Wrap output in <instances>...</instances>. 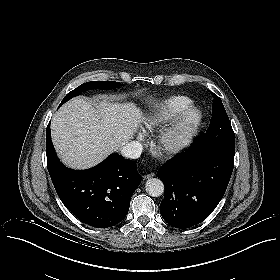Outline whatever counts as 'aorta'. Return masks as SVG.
Wrapping results in <instances>:
<instances>
[{
	"label": "aorta",
	"instance_id": "1",
	"mask_svg": "<svg viewBox=\"0 0 280 280\" xmlns=\"http://www.w3.org/2000/svg\"><path fill=\"white\" fill-rule=\"evenodd\" d=\"M146 192L152 197H159L164 193V183L158 178H151L145 184Z\"/></svg>",
	"mask_w": 280,
	"mask_h": 280
}]
</instances>
